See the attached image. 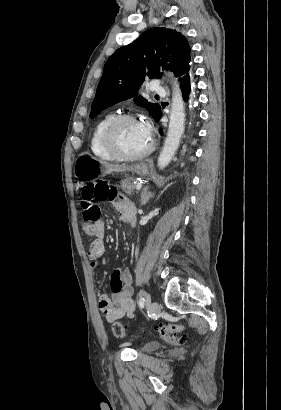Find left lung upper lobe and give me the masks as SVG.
<instances>
[{"mask_svg": "<svg viewBox=\"0 0 281 410\" xmlns=\"http://www.w3.org/2000/svg\"><path fill=\"white\" fill-rule=\"evenodd\" d=\"M160 66L174 72L178 80L191 71L190 47L180 32L165 27L152 28L111 55L104 66L90 117L94 118L115 103L133 98L155 119L161 110L160 105L138 96V88L146 76L160 78Z\"/></svg>", "mask_w": 281, "mask_h": 410, "instance_id": "5c2ea615", "label": "left lung upper lobe"}]
</instances>
